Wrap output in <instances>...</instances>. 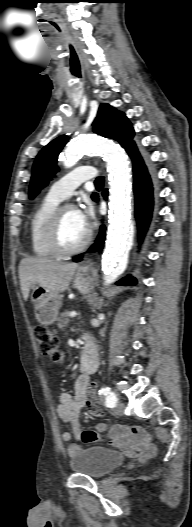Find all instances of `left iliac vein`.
<instances>
[{
  "mask_svg": "<svg viewBox=\"0 0 192 527\" xmlns=\"http://www.w3.org/2000/svg\"><path fill=\"white\" fill-rule=\"evenodd\" d=\"M124 409H125V405H124V403H122V402H118V403L115 405L113 411H114V413H115L116 415L122 416V415H123V412H124Z\"/></svg>",
  "mask_w": 192,
  "mask_h": 527,
  "instance_id": "left-iliac-vein-1",
  "label": "left iliac vein"
}]
</instances>
